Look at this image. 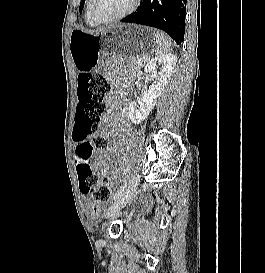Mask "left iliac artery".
I'll return each mask as SVG.
<instances>
[{
  "mask_svg": "<svg viewBox=\"0 0 265 273\" xmlns=\"http://www.w3.org/2000/svg\"><path fill=\"white\" fill-rule=\"evenodd\" d=\"M127 187V182L124 183L120 188L119 190L114 194L112 200H116L118 199L124 192L125 188Z\"/></svg>",
  "mask_w": 265,
  "mask_h": 273,
  "instance_id": "left-iliac-artery-1",
  "label": "left iliac artery"
}]
</instances>
